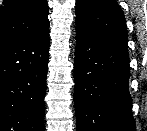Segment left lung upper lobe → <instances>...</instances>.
Wrapping results in <instances>:
<instances>
[{
    "instance_id": "5c2ea615",
    "label": "left lung upper lobe",
    "mask_w": 147,
    "mask_h": 131,
    "mask_svg": "<svg viewBox=\"0 0 147 131\" xmlns=\"http://www.w3.org/2000/svg\"><path fill=\"white\" fill-rule=\"evenodd\" d=\"M75 13L77 23L127 46L125 17L116 0H77Z\"/></svg>"
}]
</instances>
